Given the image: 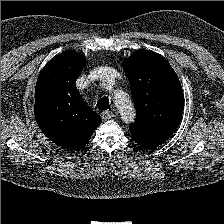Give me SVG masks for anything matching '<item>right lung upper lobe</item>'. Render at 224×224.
<instances>
[{
  "mask_svg": "<svg viewBox=\"0 0 224 224\" xmlns=\"http://www.w3.org/2000/svg\"><path fill=\"white\" fill-rule=\"evenodd\" d=\"M84 63L85 56L78 52L57 55L43 68L35 87L37 124L52 142L71 150L82 148L101 124L75 85Z\"/></svg>",
  "mask_w": 224,
  "mask_h": 224,
  "instance_id": "cb5924a9",
  "label": "right lung upper lobe"
}]
</instances>
